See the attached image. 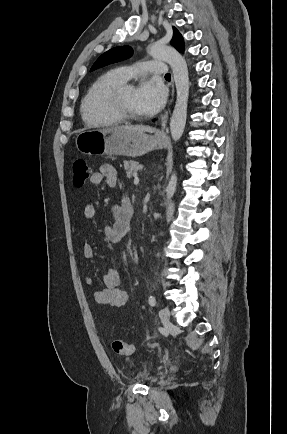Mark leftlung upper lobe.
<instances>
[{
  "mask_svg": "<svg viewBox=\"0 0 287 434\" xmlns=\"http://www.w3.org/2000/svg\"><path fill=\"white\" fill-rule=\"evenodd\" d=\"M174 29L171 44L179 51L184 52V40L182 35L176 28ZM132 48L129 46L115 47L102 54L93 64L90 71L98 69L102 66L124 60L132 55Z\"/></svg>",
  "mask_w": 287,
  "mask_h": 434,
  "instance_id": "1",
  "label": "left lung upper lobe"
}]
</instances>
